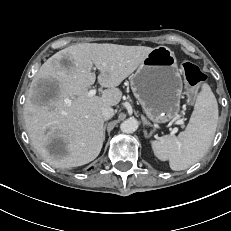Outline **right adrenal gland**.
<instances>
[{
    "label": "right adrenal gland",
    "mask_w": 231,
    "mask_h": 231,
    "mask_svg": "<svg viewBox=\"0 0 231 231\" xmlns=\"http://www.w3.org/2000/svg\"><path fill=\"white\" fill-rule=\"evenodd\" d=\"M106 125H107V123H105V124H104V127H103V133H104V135H105Z\"/></svg>",
    "instance_id": "obj_1"
}]
</instances>
